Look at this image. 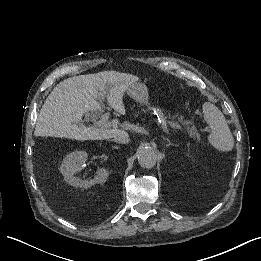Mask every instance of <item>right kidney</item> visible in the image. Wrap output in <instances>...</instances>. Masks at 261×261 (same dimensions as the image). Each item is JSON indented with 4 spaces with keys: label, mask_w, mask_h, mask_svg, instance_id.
<instances>
[{
    "label": "right kidney",
    "mask_w": 261,
    "mask_h": 261,
    "mask_svg": "<svg viewBox=\"0 0 261 261\" xmlns=\"http://www.w3.org/2000/svg\"><path fill=\"white\" fill-rule=\"evenodd\" d=\"M87 161L86 152H74L65 158L60 165V172L64 177V180L73 186L81 188H89L95 184L103 183L107 180L109 170L104 167H100L96 173V176L92 180H80L75 175L79 171V167Z\"/></svg>",
    "instance_id": "1"
}]
</instances>
